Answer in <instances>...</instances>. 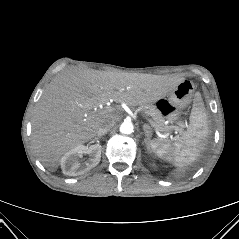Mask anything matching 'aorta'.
Here are the masks:
<instances>
[{"mask_svg": "<svg viewBox=\"0 0 239 239\" xmlns=\"http://www.w3.org/2000/svg\"><path fill=\"white\" fill-rule=\"evenodd\" d=\"M122 134L129 135L134 132V126L131 121H124L119 128Z\"/></svg>", "mask_w": 239, "mask_h": 239, "instance_id": "1", "label": "aorta"}]
</instances>
